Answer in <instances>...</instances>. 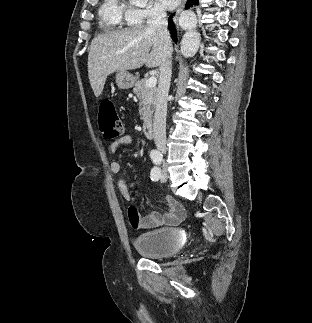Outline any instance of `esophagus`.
I'll return each mask as SVG.
<instances>
[{"mask_svg": "<svg viewBox=\"0 0 312 323\" xmlns=\"http://www.w3.org/2000/svg\"><path fill=\"white\" fill-rule=\"evenodd\" d=\"M185 1H186V0H184V2H185ZM183 6H184V5H182L181 7H179V8L177 9V11H176V14H175V16H174V22H175V23H176V21H177V19H178L179 14L182 12Z\"/></svg>", "mask_w": 312, "mask_h": 323, "instance_id": "obj_1", "label": "esophagus"}]
</instances>
